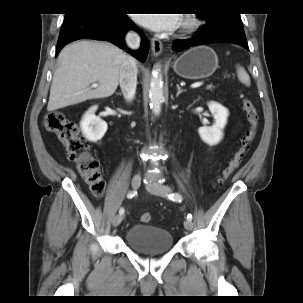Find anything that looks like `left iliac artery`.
Masks as SVG:
<instances>
[{"label": "left iliac artery", "instance_id": "left-iliac-artery-1", "mask_svg": "<svg viewBox=\"0 0 303 303\" xmlns=\"http://www.w3.org/2000/svg\"><path fill=\"white\" fill-rule=\"evenodd\" d=\"M171 200L175 201V202H181L182 201V196L179 193H172L169 194L168 196ZM187 219L188 220H192V215L188 214L187 215Z\"/></svg>", "mask_w": 303, "mask_h": 303}]
</instances>
